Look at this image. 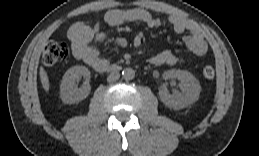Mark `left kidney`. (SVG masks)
<instances>
[{
    "mask_svg": "<svg viewBox=\"0 0 259 156\" xmlns=\"http://www.w3.org/2000/svg\"><path fill=\"white\" fill-rule=\"evenodd\" d=\"M163 79H178L181 82V93L171 95L165 84L159 88L161 101L169 108L178 110L187 107L198 100L201 87L197 78L185 70H167L163 73Z\"/></svg>",
    "mask_w": 259,
    "mask_h": 156,
    "instance_id": "1",
    "label": "left kidney"
}]
</instances>
